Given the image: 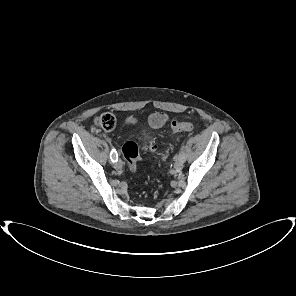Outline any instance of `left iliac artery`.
Returning <instances> with one entry per match:
<instances>
[{
    "instance_id": "left-iliac-artery-1",
    "label": "left iliac artery",
    "mask_w": 296,
    "mask_h": 296,
    "mask_svg": "<svg viewBox=\"0 0 296 296\" xmlns=\"http://www.w3.org/2000/svg\"><path fill=\"white\" fill-rule=\"evenodd\" d=\"M178 158H181V159H183V161H185L186 156H185V153H184L183 149L180 151Z\"/></svg>"
}]
</instances>
